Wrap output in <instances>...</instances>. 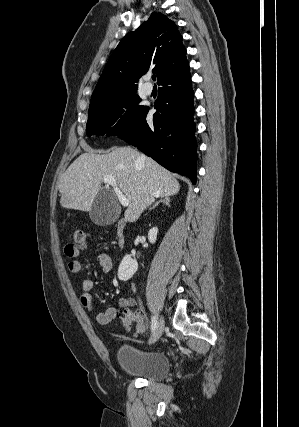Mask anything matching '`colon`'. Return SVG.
I'll return each mask as SVG.
<instances>
[{
	"label": "colon",
	"mask_w": 299,
	"mask_h": 427,
	"mask_svg": "<svg viewBox=\"0 0 299 427\" xmlns=\"http://www.w3.org/2000/svg\"><path fill=\"white\" fill-rule=\"evenodd\" d=\"M87 246V233L84 229L74 230L69 237V241L65 247L67 256H76L80 251L84 250ZM140 321L136 314L127 312L122 316V323L125 328H131L134 323Z\"/></svg>",
	"instance_id": "5ec220e1"
}]
</instances>
